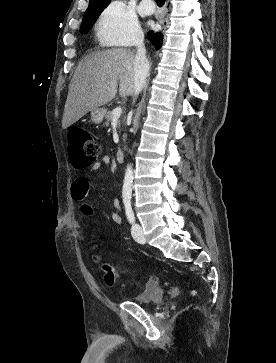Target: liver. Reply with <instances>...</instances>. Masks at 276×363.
I'll return each mask as SVG.
<instances>
[{
	"label": "liver",
	"instance_id": "obj_1",
	"mask_svg": "<svg viewBox=\"0 0 276 363\" xmlns=\"http://www.w3.org/2000/svg\"><path fill=\"white\" fill-rule=\"evenodd\" d=\"M134 51L113 48L86 56L78 64L69 85L62 127L66 129L81 117L119 95L134 93Z\"/></svg>",
	"mask_w": 276,
	"mask_h": 363
}]
</instances>
